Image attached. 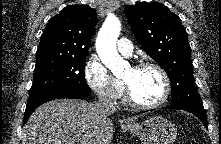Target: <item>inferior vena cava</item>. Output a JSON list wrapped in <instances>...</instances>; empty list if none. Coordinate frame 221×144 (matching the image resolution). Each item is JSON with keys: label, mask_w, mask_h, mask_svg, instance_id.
Segmentation results:
<instances>
[{"label": "inferior vena cava", "mask_w": 221, "mask_h": 144, "mask_svg": "<svg viewBox=\"0 0 221 144\" xmlns=\"http://www.w3.org/2000/svg\"><path fill=\"white\" fill-rule=\"evenodd\" d=\"M97 106L103 115H110L117 110L116 104L108 97H100Z\"/></svg>", "instance_id": "inferior-vena-cava-1"}]
</instances>
